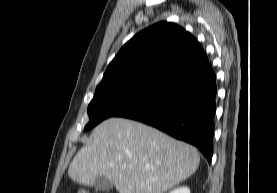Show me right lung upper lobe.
<instances>
[{"instance_id":"1","label":"right lung upper lobe","mask_w":277,"mask_h":193,"mask_svg":"<svg viewBox=\"0 0 277 193\" xmlns=\"http://www.w3.org/2000/svg\"><path fill=\"white\" fill-rule=\"evenodd\" d=\"M207 63L203 48L190 33L174 23L159 22L121 48L96 90L124 86L156 90Z\"/></svg>"}]
</instances>
